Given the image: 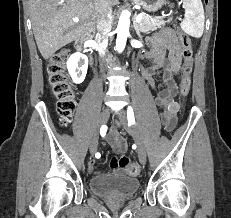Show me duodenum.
<instances>
[{
  "instance_id": "1",
  "label": "duodenum",
  "mask_w": 231,
  "mask_h": 218,
  "mask_svg": "<svg viewBox=\"0 0 231 218\" xmlns=\"http://www.w3.org/2000/svg\"><path fill=\"white\" fill-rule=\"evenodd\" d=\"M87 36H84V37H81L79 39L76 40L75 42V48L78 52L80 53H84L86 52V46H85V42L87 40ZM89 60H90V63L92 64L93 63V59L91 56H89Z\"/></svg>"
}]
</instances>
